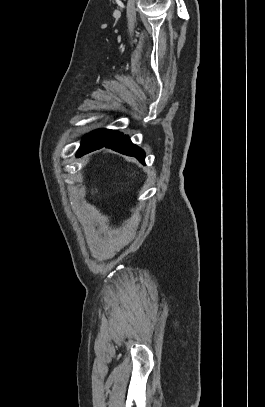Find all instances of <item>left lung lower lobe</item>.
Returning a JSON list of instances; mask_svg holds the SVG:
<instances>
[{
    "label": "left lung lower lobe",
    "mask_w": 265,
    "mask_h": 407,
    "mask_svg": "<svg viewBox=\"0 0 265 407\" xmlns=\"http://www.w3.org/2000/svg\"><path fill=\"white\" fill-rule=\"evenodd\" d=\"M102 147H107L111 148L117 152H120L122 154L128 155V156H133L137 158L140 162L145 163V152L138 146L134 145L129 137L127 135H123L122 133L113 139L109 140L106 143L98 144L96 146H93L89 149H86L82 152H77V157H80L84 154H87L89 152L95 151L97 149H100Z\"/></svg>",
    "instance_id": "1"
}]
</instances>
